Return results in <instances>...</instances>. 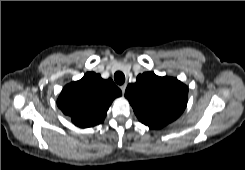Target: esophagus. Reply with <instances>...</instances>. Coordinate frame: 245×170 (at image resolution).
I'll return each mask as SVG.
<instances>
[{
    "mask_svg": "<svg viewBox=\"0 0 245 170\" xmlns=\"http://www.w3.org/2000/svg\"><path fill=\"white\" fill-rule=\"evenodd\" d=\"M126 87H127V84H123V85L120 87V88H121V91H122V94L125 93Z\"/></svg>",
    "mask_w": 245,
    "mask_h": 170,
    "instance_id": "34e87169",
    "label": "esophagus"
}]
</instances>
